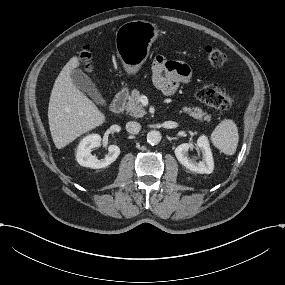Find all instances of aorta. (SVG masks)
Instances as JSON below:
<instances>
[{
  "label": "aorta",
  "instance_id": "1",
  "mask_svg": "<svg viewBox=\"0 0 285 285\" xmlns=\"http://www.w3.org/2000/svg\"><path fill=\"white\" fill-rule=\"evenodd\" d=\"M161 141V133L156 130L149 131L147 134V142L151 145H157Z\"/></svg>",
  "mask_w": 285,
  "mask_h": 285
}]
</instances>
